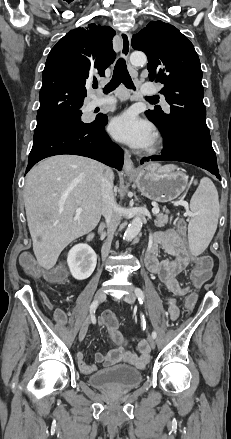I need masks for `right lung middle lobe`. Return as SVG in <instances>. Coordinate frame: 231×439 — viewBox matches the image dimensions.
Here are the masks:
<instances>
[{
    "label": "right lung middle lobe",
    "mask_w": 231,
    "mask_h": 439,
    "mask_svg": "<svg viewBox=\"0 0 231 439\" xmlns=\"http://www.w3.org/2000/svg\"><path fill=\"white\" fill-rule=\"evenodd\" d=\"M81 115L82 113L80 109H74V110L58 113L49 117L37 119V126L35 129V133L50 127L60 126V125H70L77 127L89 126L91 123H84L83 121H81Z\"/></svg>",
    "instance_id": "obj_1"
}]
</instances>
